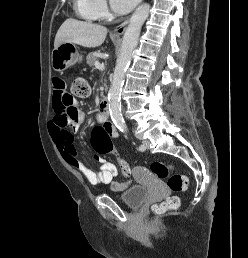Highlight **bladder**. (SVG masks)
Listing matches in <instances>:
<instances>
[{"label":"bladder","instance_id":"bladder-1","mask_svg":"<svg viewBox=\"0 0 248 258\" xmlns=\"http://www.w3.org/2000/svg\"><path fill=\"white\" fill-rule=\"evenodd\" d=\"M145 186L134 185L119 195V199L129 208H139L148 197Z\"/></svg>","mask_w":248,"mask_h":258}]
</instances>
